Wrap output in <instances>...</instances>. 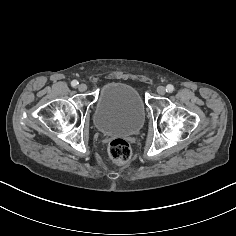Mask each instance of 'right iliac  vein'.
I'll list each match as a JSON object with an SVG mask.
<instances>
[{
    "instance_id": "1",
    "label": "right iliac vein",
    "mask_w": 236,
    "mask_h": 236,
    "mask_svg": "<svg viewBox=\"0 0 236 236\" xmlns=\"http://www.w3.org/2000/svg\"><path fill=\"white\" fill-rule=\"evenodd\" d=\"M78 90H79L80 92L86 91V90H87V85L84 84V83L79 84V85H78Z\"/></svg>"
}]
</instances>
